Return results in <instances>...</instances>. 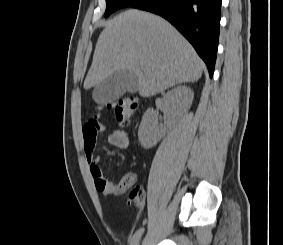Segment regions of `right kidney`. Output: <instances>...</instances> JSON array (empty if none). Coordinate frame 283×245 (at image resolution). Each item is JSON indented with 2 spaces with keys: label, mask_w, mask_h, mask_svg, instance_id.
Returning <instances> with one entry per match:
<instances>
[{
  "label": "right kidney",
  "mask_w": 283,
  "mask_h": 245,
  "mask_svg": "<svg viewBox=\"0 0 283 245\" xmlns=\"http://www.w3.org/2000/svg\"><path fill=\"white\" fill-rule=\"evenodd\" d=\"M193 97L192 89L187 86H178L168 91L163 97L167 121L183 115L190 108ZM165 133L166 128L158 125L157 113L153 108H149L144 113L138 130L141 145L149 149L155 146Z\"/></svg>",
  "instance_id": "ca27d5eb"
}]
</instances>
